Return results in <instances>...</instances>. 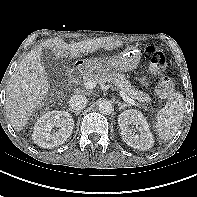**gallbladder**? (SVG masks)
Here are the masks:
<instances>
[{
    "label": "gallbladder",
    "instance_id": "bac80fb5",
    "mask_svg": "<svg viewBox=\"0 0 197 197\" xmlns=\"http://www.w3.org/2000/svg\"><path fill=\"white\" fill-rule=\"evenodd\" d=\"M54 58H55L54 54L50 50L48 49L43 50L41 55L42 65L44 66V68L46 69V71L50 76H53L55 73L51 67L54 62Z\"/></svg>",
    "mask_w": 197,
    "mask_h": 197
}]
</instances>
